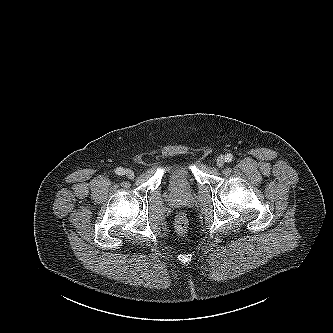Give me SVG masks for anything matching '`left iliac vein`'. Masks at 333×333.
I'll return each instance as SVG.
<instances>
[{
    "instance_id": "4c4485c4",
    "label": "left iliac vein",
    "mask_w": 333,
    "mask_h": 333,
    "mask_svg": "<svg viewBox=\"0 0 333 333\" xmlns=\"http://www.w3.org/2000/svg\"><path fill=\"white\" fill-rule=\"evenodd\" d=\"M225 164V157L223 155L219 156L216 161L218 167H222Z\"/></svg>"
}]
</instances>
